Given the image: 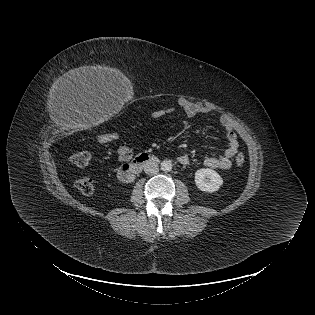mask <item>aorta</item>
Returning a JSON list of instances; mask_svg holds the SVG:
<instances>
[{"mask_svg":"<svg viewBox=\"0 0 315 315\" xmlns=\"http://www.w3.org/2000/svg\"><path fill=\"white\" fill-rule=\"evenodd\" d=\"M172 162L170 160H164L161 162V170L165 172H169L172 170Z\"/></svg>","mask_w":315,"mask_h":315,"instance_id":"1","label":"aorta"}]
</instances>
